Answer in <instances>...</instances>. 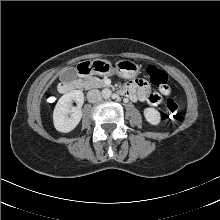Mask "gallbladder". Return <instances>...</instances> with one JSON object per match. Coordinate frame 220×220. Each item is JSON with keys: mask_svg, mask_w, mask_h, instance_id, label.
Instances as JSON below:
<instances>
[{"mask_svg": "<svg viewBox=\"0 0 220 220\" xmlns=\"http://www.w3.org/2000/svg\"><path fill=\"white\" fill-rule=\"evenodd\" d=\"M70 76V80H74L77 76V71L75 68H69L66 72L62 74V77L65 78L67 76Z\"/></svg>", "mask_w": 220, "mask_h": 220, "instance_id": "gallbladder-1", "label": "gallbladder"}]
</instances>
